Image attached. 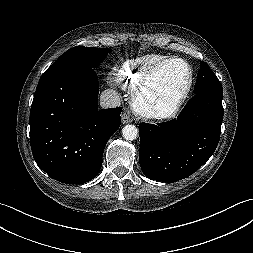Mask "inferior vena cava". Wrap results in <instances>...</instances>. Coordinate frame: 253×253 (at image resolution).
I'll use <instances>...</instances> for the list:
<instances>
[{
    "label": "inferior vena cava",
    "mask_w": 253,
    "mask_h": 253,
    "mask_svg": "<svg viewBox=\"0 0 253 253\" xmlns=\"http://www.w3.org/2000/svg\"><path fill=\"white\" fill-rule=\"evenodd\" d=\"M121 104L119 94L113 89H107L101 93L100 105L102 108H115Z\"/></svg>",
    "instance_id": "1"
}]
</instances>
